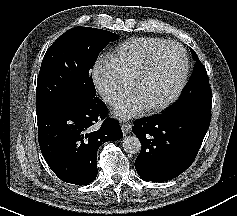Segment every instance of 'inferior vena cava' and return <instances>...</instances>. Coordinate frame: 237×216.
<instances>
[{"label": "inferior vena cava", "mask_w": 237, "mask_h": 216, "mask_svg": "<svg viewBox=\"0 0 237 216\" xmlns=\"http://www.w3.org/2000/svg\"><path fill=\"white\" fill-rule=\"evenodd\" d=\"M101 97L112 108L119 109L124 105V95L112 90H103Z\"/></svg>", "instance_id": "inferior-vena-cava-1"}]
</instances>
